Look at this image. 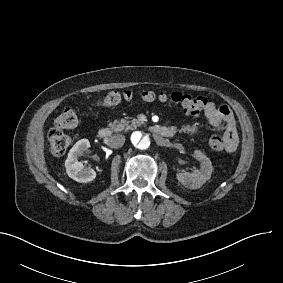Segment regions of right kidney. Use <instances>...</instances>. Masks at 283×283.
I'll use <instances>...</instances> for the list:
<instances>
[{"label": "right kidney", "instance_id": "obj_1", "mask_svg": "<svg viewBox=\"0 0 283 283\" xmlns=\"http://www.w3.org/2000/svg\"><path fill=\"white\" fill-rule=\"evenodd\" d=\"M90 147L88 139L77 141L70 149L68 157L65 161L66 173L73 180L80 183H87L95 179L96 172L91 168H85L82 162L78 161V157Z\"/></svg>", "mask_w": 283, "mask_h": 283}]
</instances>
